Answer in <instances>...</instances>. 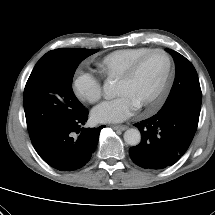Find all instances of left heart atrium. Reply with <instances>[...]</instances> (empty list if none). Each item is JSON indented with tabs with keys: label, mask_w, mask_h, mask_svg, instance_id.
<instances>
[{
	"label": "left heart atrium",
	"mask_w": 215,
	"mask_h": 215,
	"mask_svg": "<svg viewBox=\"0 0 215 215\" xmlns=\"http://www.w3.org/2000/svg\"><path fill=\"white\" fill-rule=\"evenodd\" d=\"M137 108L138 105L129 95L120 94L96 106L92 118L97 123H119L132 116Z\"/></svg>",
	"instance_id": "39dd6f15"
}]
</instances>
